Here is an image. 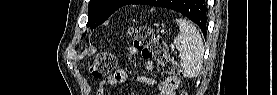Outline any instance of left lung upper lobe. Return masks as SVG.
<instances>
[{
  "instance_id": "1",
  "label": "left lung upper lobe",
  "mask_w": 277,
  "mask_h": 95,
  "mask_svg": "<svg viewBox=\"0 0 277 95\" xmlns=\"http://www.w3.org/2000/svg\"><path fill=\"white\" fill-rule=\"evenodd\" d=\"M133 0H90L88 8V22L87 25L93 30L102 24L107 18L116 10L124 5H128ZM176 0H172L174 3ZM168 3L167 5H171ZM158 7H164V4H156Z\"/></svg>"
}]
</instances>
